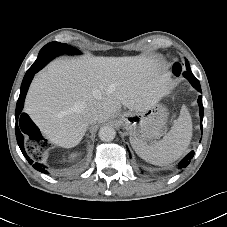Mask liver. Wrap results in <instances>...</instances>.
<instances>
[{
    "label": "liver",
    "mask_w": 227,
    "mask_h": 227,
    "mask_svg": "<svg viewBox=\"0 0 227 227\" xmlns=\"http://www.w3.org/2000/svg\"><path fill=\"white\" fill-rule=\"evenodd\" d=\"M170 72L156 57L57 59L38 73L25 100V112L53 144L71 148L82 140L87 111L105 122L123 105L143 112L168 95Z\"/></svg>",
    "instance_id": "obj_1"
}]
</instances>
